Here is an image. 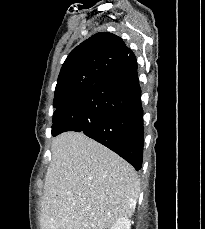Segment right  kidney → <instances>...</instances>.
Returning a JSON list of instances; mask_svg holds the SVG:
<instances>
[{"label": "right kidney", "mask_w": 205, "mask_h": 229, "mask_svg": "<svg viewBox=\"0 0 205 229\" xmlns=\"http://www.w3.org/2000/svg\"><path fill=\"white\" fill-rule=\"evenodd\" d=\"M131 221L128 218H119L110 229H130Z\"/></svg>", "instance_id": "obj_1"}]
</instances>
